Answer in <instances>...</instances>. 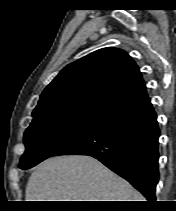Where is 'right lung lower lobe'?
Wrapping results in <instances>:
<instances>
[{"mask_svg": "<svg viewBox=\"0 0 176 211\" xmlns=\"http://www.w3.org/2000/svg\"><path fill=\"white\" fill-rule=\"evenodd\" d=\"M159 135L157 116L149 101L103 118L52 156H92L154 202L159 180Z\"/></svg>", "mask_w": 176, "mask_h": 211, "instance_id": "1", "label": "right lung lower lobe"}]
</instances>
